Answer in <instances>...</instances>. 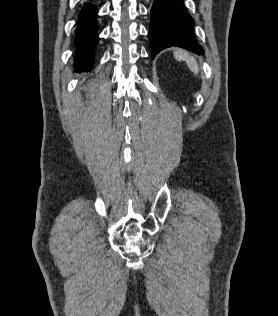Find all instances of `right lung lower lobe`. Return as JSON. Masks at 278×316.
Listing matches in <instances>:
<instances>
[{
  "mask_svg": "<svg viewBox=\"0 0 278 316\" xmlns=\"http://www.w3.org/2000/svg\"><path fill=\"white\" fill-rule=\"evenodd\" d=\"M97 9L87 4L79 15V24L75 37L77 47L76 69L88 71L93 65V51L98 43Z\"/></svg>",
  "mask_w": 278,
  "mask_h": 316,
  "instance_id": "1",
  "label": "right lung lower lobe"
}]
</instances>
